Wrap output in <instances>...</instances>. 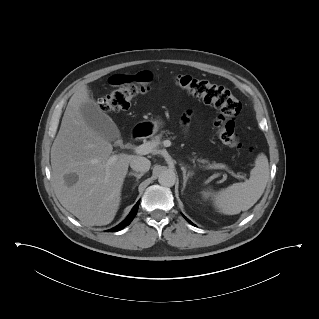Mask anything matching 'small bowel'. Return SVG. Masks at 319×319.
Masks as SVG:
<instances>
[{"label": "small bowel", "mask_w": 319, "mask_h": 319, "mask_svg": "<svg viewBox=\"0 0 319 319\" xmlns=\"http://www.w3.org/2000/svg\"><path fill=\"white\" fill-rule=\"evenodd\" d=\"M141 75H142L143 77H145V78H151L150 73L147 72V71L142 72ZM187 119H188L187 116H185V117L183 118V124H185V122L187 121Z\"/></svg>", "instance_id": "c3829d8e"}]
</instances>
